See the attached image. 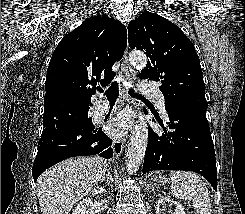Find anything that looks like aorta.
<instances>
[{"label": "aorta", "instance_id": "1", "mask_svg": "<svg viewBox=\"0 0 245 214\" xmlns=\"http://www.w3.org/2000/svg\"><path fill=\"white\" fill-rule=\"evenodd\" d=\"M129 61L134 68L141 70L147 64V57L143 52L133 51L129 55ZM138 119L127 146L126 168L130 175L134 174L140 167L148 144L147 123L141 113L138 114Z\"/></svg>", "mask_w": 245, "mask_h": 214}]
</instances>
